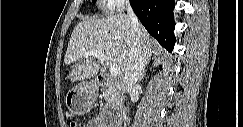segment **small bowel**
<instances>
[{
    "label": "small bowel",
    "mask_w": 243,
    "mask_h": 127,
    "mask_svg": "<svg viewBox=\"0 0 243 127\" xmlns=\"http://www.w3.org/2000/svg\"><path fill=\"white\" fill-rule=\"evenodd\" d=\"M100 122V119H93L90 121L89 126L90 127H102Z\"/></svg>",
    "instance_id": "small-bowel-1"
}]
</instances>
